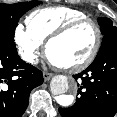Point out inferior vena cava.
Here are the masks:
<instances>
[{"instance_id": "602c4592", "label": "inferior vena cava", "mask_w": 117, "mask_h": 117, "mask_svg": "<svg viewBox=\"0 0 117 117\" xmlns=\"http://www.w3.org/2000/svg\"><path fill=\"white\" fill-rule=\"evenodd\" d=\"M31 62H32V63H37V59H35V60H32Z\"/></svg>"}]
</instances>
